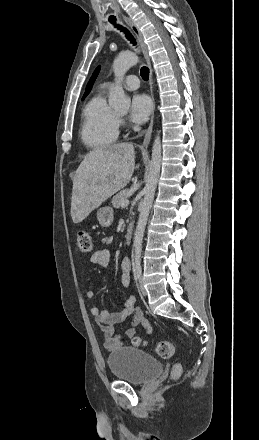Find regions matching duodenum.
Returning a JSON list of instances; mask_svg holds the SVG:
<instances>
[{"label": "duodenum", "instance_id": "1", "mask_svg": "<svg viewBox=\"0 0 259 440\" xmlns=\"http://www.w3.org/2000/svg\"><path fill=\"white\" fill-rule=\"evenodd\" d=\"M133 238V225L129 224L125 233V241L127 244H130L132 242Z\"/></svg>", "mask_w": 259, "mask_h": 440}]
</instances>
